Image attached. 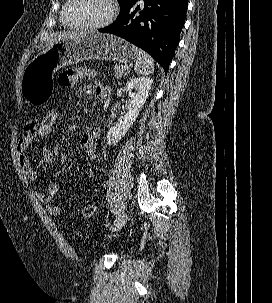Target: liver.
Instances as JSON below:
<instances>
[{"mask_svg": "<svg viewBox=\"0 0 272 303\" xmlns=\"http://www.w3.org/2000/svg\"><path fill=\"white\" fill-rule=\"evenodd\" d=\"M84 33H63L59 35H54L52 38H50L48 45H52L54 43H57L60 40L67 39V38H72V37H77L80 35H83Z\"/></svg>", "mask_w": 272, "mask_h": 303, "instance_id": "6515ba94", "label": "liver"}]
</instances>
